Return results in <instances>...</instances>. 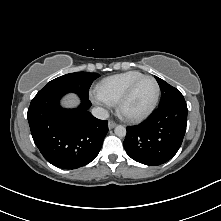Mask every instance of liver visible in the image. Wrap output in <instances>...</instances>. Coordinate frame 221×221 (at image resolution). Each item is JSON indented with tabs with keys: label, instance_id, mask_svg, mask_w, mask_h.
Masks as SVG:
<instances>
[{
	"label": "liver",
	"instance_id": "1",
	"mask_svg": "<svg viewBox=\"0 0 221 221\" xmlns=\"http://www.w3.org/2000/svg\"><path fill=\"white\" fill-rule=\"evenodd\" d=\"M77 105L78 98L73 94L67 95L62 101V106L66 108L76 107Z\"/></svg>",
	"mask_w": 221,
	"mask_h": 221
}]
</instances>
